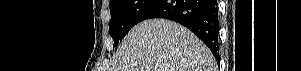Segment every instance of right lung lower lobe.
Listing matches in <instances>:
<instances>
[{"label": "right lung lower lobe", "instance_id": "98d812e1", "mask_svg": "<svg viewBox=\"0 0 301 71\" xmlns=\"http://www.w3.org/2000/svg\"><path fill=\"white\" fill-rule=\"evenodd\" d=\"M150 18H166L187 27L219 62L217 0H156L143 12L139 22Z\"/></svg>", "mask_w": 301, "mask_h": 71}]
</instances>
